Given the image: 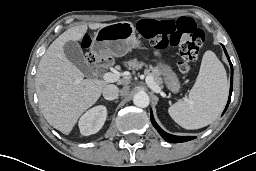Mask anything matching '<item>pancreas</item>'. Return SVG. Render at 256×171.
<instances>
[{
    "label": "pancreas",
    "instance_id": "1",
    "mask_svg": "<svg viewBox=\"0 0 256 171\" xmlns=\"http://www.w3.org/2000/svg\"><path fill=\"white\" fill-rule=\"evenodd\" d=\"M127 66L129 69H140L143 66V63H139L137 60H132L127 62ZM146 74H148L154 81L156 85L162 84V78L160 77V72L156 68H151L150 70L146 71Z\"/></svg>",
    "mask_w": 256,
    "mask_h": 171
}]
</instances>
